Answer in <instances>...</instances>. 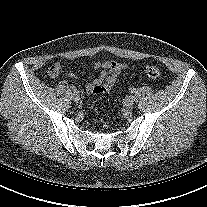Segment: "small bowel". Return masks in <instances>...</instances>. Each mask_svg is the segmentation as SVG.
<instances>
[{
  "mask_svg": "<svg viewBox=\"0 0 207 207\" xmlns=\"http://www.w3.org/2000/svg\"><path fill=\"white\" fill-rule=\"evenodd\" d=\"M95 70H99L100 74L97 79L85 85L87 93L93 95H102L109 93L115 85L119 75L127 69V64L118 61L107 60L97 61L93 64ZM63 71V67L60 63H55L49 68V75L52 78H56ZM67 76L71 79H76L77 76L73 72H67ZM71 87H75L76 90H83V87L77 83L69 82Z\"/></svg>",
  "mask_w": 207,
  "mask_h": 207,
  "instance_id": "small-bowel-1",
  "label": "small bowel"
}]
</instances>
